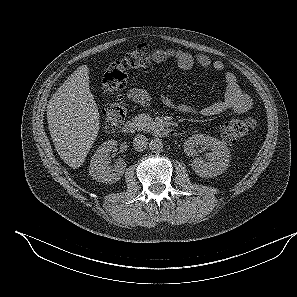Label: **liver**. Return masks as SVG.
Segmentation results:
<instances>
[{
  "mask_svg": "<svg viewBox=\"0 0 297 297\" xmlns=\"http://www.w3.org/2000/svg\"><path fill=\"white\" fill-rule=\"evenodd\" d=\"M47 120L58 155L71 168H79L100 128L87 65L79 66L53 94L47 105Z\"/></svg>",
  "mask_w": 297,
  "mask_h": 297,
  "instance_id": "obj_1",
  "label": "liver"
}]
</instances>
